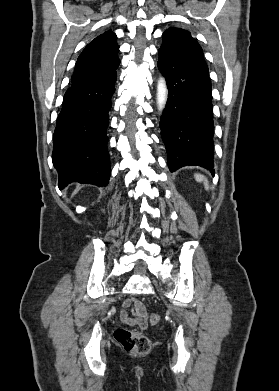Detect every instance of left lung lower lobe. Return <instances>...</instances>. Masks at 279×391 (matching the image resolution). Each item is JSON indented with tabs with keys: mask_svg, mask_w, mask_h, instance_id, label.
I'll use <instances>...</instances> for the list:
<instances>
[{
	"mask_svg": "<svg viewBox=\"0 0 279 391\" xmlns=\"http://www.w3.org/2000/svg\"><path fill=\"white\" fill-rule=\"evenodd\" d=\"M157 65L169 91L160 128L170 171L187 165L212 169L214 124L209 74L162 49Z\"/></svg>",
	"mask_w": 279,
	"mask_h": 391,
	"instance_id": "0a47b994",
	"label": "left lung lower lobe"
}]
</instances>
